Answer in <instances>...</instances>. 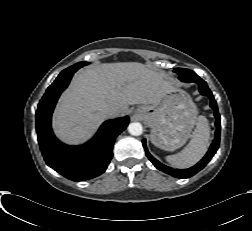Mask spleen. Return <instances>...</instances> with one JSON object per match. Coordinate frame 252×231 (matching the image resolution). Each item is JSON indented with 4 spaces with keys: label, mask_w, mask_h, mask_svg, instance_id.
<instances>
[{
    "label": "spleen",
    "mask_w": 252,
    "mask_h": 231,
    "mask_svg": "<svg viewBox=\"0 0 252 231\" xmlns=\"http://www.w3.org/2000/svg\"><path fill=\"white\" fill-rule=\"evenodd\" d=\"M210 128L204 116L197 117L196 128L188 145L179 153L169 155L166 160L175 168H188L196 164L209 146Z\"/></svg>",
    "instance_id": "spleen-1"
}]
</instances>
